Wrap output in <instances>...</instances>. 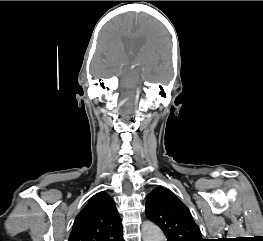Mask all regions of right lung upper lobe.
<instances>
[{
  "mask_svg": "<svg viewBox=\"0 0 263 241\" xmlns=\"http://www.w3.org/2000/svg\"><path fill=\"white\" fill-rule=\"evenodd\" d=\"M69 241H124L121 219L107 193L90 198L75 218Z\"/></svg>",
  "mask_w": 263,
  "mask_h": 241,
  "instance_id": "obj_1",
  "label": "right lung upper lobe"
}]
</instances>
